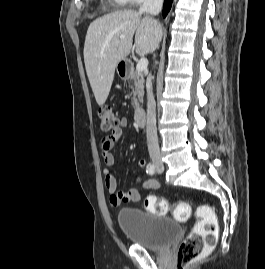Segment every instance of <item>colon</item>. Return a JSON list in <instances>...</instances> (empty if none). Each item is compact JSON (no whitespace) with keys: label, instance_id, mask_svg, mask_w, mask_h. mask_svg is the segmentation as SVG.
Masks as SVG:
<instances>
[{"label":"colon","instance_id":"5ec220e1","mask_svg":"<svg viewBox=\"0 0 265 269\" xmlns=\"http://www.w3.org/2000/svg\"><path fill=\"white\" fill-rule=\"evenodd\" d=\"M98 117L103 131H115L120 127V120L109 107H100ZM145 207L155 214H166L170 205L165 198L148 196ZM173 215L178 221H186L191 215V206L186 201H178L172 207ZM200 220L192 231L181 242L177 254V269H186L198 259L208 248L215 245L218 232V221L214 211L209 207L200 206L197 209Z\"/></svg>","mask_w":265,"mask_h":269}]
</instances>
